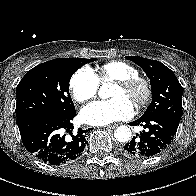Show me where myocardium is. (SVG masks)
Segmentation results:
<instances>
[{
	"label": "myocardium",
	"mask_w": 196,
	"mask_h": 196,
	"mask_svg": "<svg viewBox=\"0 0 196 196\" xmlns=\"http://www.w3.org/2000/svg\"><path fill=\"white\" fill-rule=\"evenodd\" d=\"M115 85H118L126 90H131L134 88H141L142 94L139 99L135 101V105L138 108L146 106L152 97V85L149 79L146 77L136 75L124 79H119L115 81Z\"/></svg>",
	"instance_id": "f54148a6"
}]
</instances>
